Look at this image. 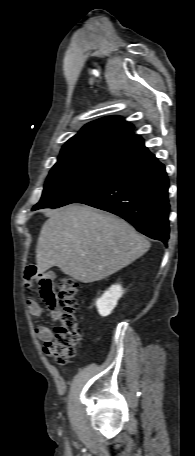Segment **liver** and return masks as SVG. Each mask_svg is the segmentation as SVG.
<instances>
[{"instance_id":"1","label":"liver","mask_w":195,"mask_h":456,"mask_svg":"<svg viewBox=\"0 0 195 456\" xmlns=\"http://www.w3.org/2000/svg\"><path fill=\"white\" fill-rule=\"evenodd\" d=\"M150 248L147 239L115 215L71 204L50 213L36 248L39 273L57 266L82 283L102 280Z\"/></svg>"}]
</instances>
